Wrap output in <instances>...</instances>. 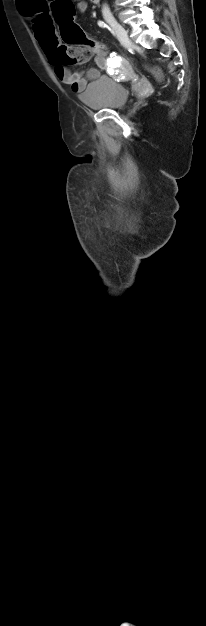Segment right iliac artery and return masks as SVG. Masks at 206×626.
<instances>
[{
    "mask_svg": "<svg viewBox=\"0 0 206 626\" xmlns=\"http://www.w3.org/2000/svg\"><path fill=\"white\" fill-rule=\"evenodd\" d=\"M98 25L102 28H109L103 21L99 20ZM110 29V28H109Z\"/></svg>",
    "mask_w": 206,
    "mask_h": 626,
    "instance_id": "right-iliac-artery-1",
    "label": "right iliac artery"
}]
</instances>
